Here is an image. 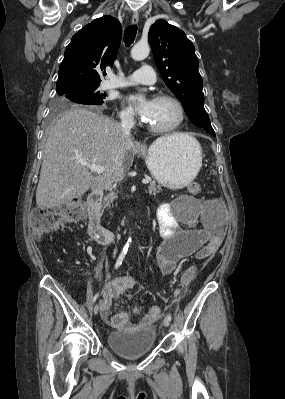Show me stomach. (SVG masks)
<instances>
[{
	"mask_svg": "<svg viewBox=\"0 0 285 399\" xmlns=\"http://www.w3.org/2000/svg\"><path fill=\"white\" fill-rule=\"evenodd\" d=\"M153 178L162 186L180 189L189 185L202 166V150L196 139L181 135L159 138L141 151Z\"/></svg>",
	"mask_w": 285,
	"mask_h": 399,
	"instance_id": "1",
	"label": "stomach"
}]
</instances>
